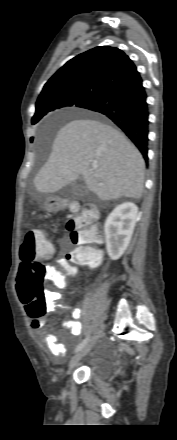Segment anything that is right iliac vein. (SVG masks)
<instances>
[{"instance_id":"63e3f726","label":"right iliac vein","mask_w":177,"mask_h":440,"mask_svg":"<svg viewBox=\"0 0 177 440\" xmlns=\"http://www.w3.org/2000/svg\"><path fill=\"white\" fill-rule=\"evenodd\" d=\"M104 330V325H101L94 336L87 342V344L72 357L69 362V370H71L83 357H85L94 345L97 343L98 339L102 336Z\"/></svg>"}]
</instances>
